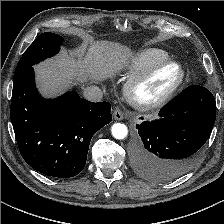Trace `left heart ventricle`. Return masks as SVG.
I'll return each instance as SVG.
<instances>
[{
	"label": "left heart ventricle",
	"mask_w": 224,
	"mask_h": 224,
	"mask_svg": "<svg viewBox=\"0 0 224 224\" xmlns=\"http://www.w3.org/2000/svg\"><path fill=\"white\" fill-rule=\"evenodd\" d=\"M178 74V70L174 67L159 71L140 88L139 97L145 101L156 99L170 87Z\"/></svg>",
	"instance_id": "b2bd125f"
}]
</instances>
